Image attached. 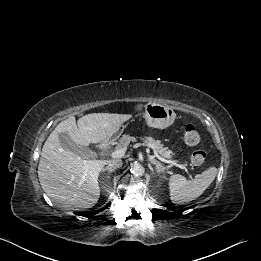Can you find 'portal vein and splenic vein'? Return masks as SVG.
Listing matches in <instances>:
<instances>
[{
    "label": "portal vein and splenic vein",
    "instance_id": "18ae733b",
    "mask_svg": "<svg viewBox=\"0 0 261 261\" xmlns=\"http://www.w3.org/2000/svg\"><path fill=\"white\" fill-rule=\"evenodd\" d=\"M150 147H151V146H150ZM151 148H152V147H151ZM126 149H127V148L117 149V150H115L114 152L111 153V156H112L113 158H121V157L124 156V154H125V152H126ZM152 149H153V148H152ZM153 150H154V149H153ZM154 156L157 157V158H158L159 160H161L162 162L170 163L171 165L177 166V167H179V168H181V169H183V170H185V171L187 172V169H186V167H185L184 165L179 164V163H177L176 161H171V160H167V159H165V158H163V157H160L155 150H154ZM85 169H86V172H88L89 167L86 166ZM189 176H190V178H191V175H189Z\"/></svg>",
    "mask_w": 261,
    "mask_h": 261
}]
</instances>
